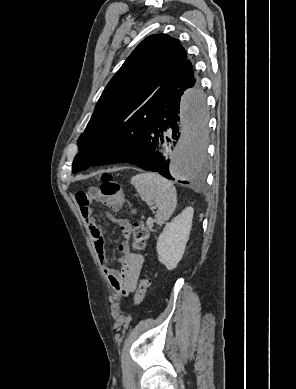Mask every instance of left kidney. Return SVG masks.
Masks as SVG:
<instances>
[{
	"instance_id": "1",
	"label": "left kidney",
	"mask_w": 296,
	"mask_h": 389,
	"mask_svg": "<svg viewBox=\"0 0 296 389\" xmlns=\"http://www.w3.org/2000/svg\"><path fill=\"white\" fill-rule=\"evenodd\" d=\"M194 209L185 208L177 217L166 225L157 240L158 260L168 270L176 268L185 252L189 239Z\"/></svg>"
}]
</instances>
